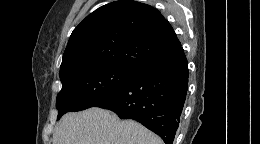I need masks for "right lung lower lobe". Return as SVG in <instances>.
Here are the masks:
<instances>
[{
	"label": "right lung lower lobe",
	"instance_id": "1",
	"mask_svg": "<svg viewBox=\"0 0 260 144\" xmlns=\"http://www.w3.org/2000/svg\"><path fill=\"white\" fill-rule=\"evenodd\" d=\"M188 63L183 48L136 66L127 81L95 105L134 119L173 144L188 89Z\"/></svg>",
	"mask_w": 260,
	"mask_h": 144
}]
</instances>
